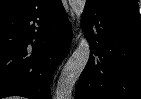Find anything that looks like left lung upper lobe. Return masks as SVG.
<instances>
[{
	"label": "left lung upper lobe",
	"instance_id": "left-lung-upper-lobe-1",
	"mask_svg": "<svg viewBox=\"0 0 141 99\" xmlns=\"http://www.w3.org/2000/svg\"><path fill=\"white\" fill-rule=\"evenodd\" d=\"M86 4L116 15L139 16L137 0H87Z\"/></svg>",
	"mask_w": 141,
	"mask_h": 99
}]
</instances>
